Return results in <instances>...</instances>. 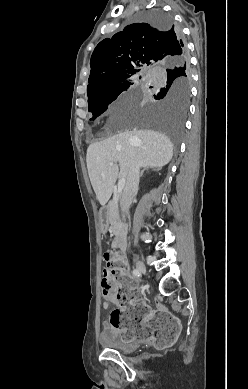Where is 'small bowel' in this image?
<instances>
[{
	"label": "small bowel",
	"instance_id": "1",
	"mask_svg": "<svg viewBox=\"0 0 248 389\" xmlns=\"http://www.w3.org/2000/svg\"><path fill=\"white\" fill-rule=\"evenodd\" d=\"M130 278H131V277H130ZM112 304L118 305V301L115 300V299H110V298H106V297H105V301H104V303H103V308L107 310V309L110 308V306H111ZM103 326H104L105 329L110 328V324H109L108 321H105V322L103 323Z\"/></svg>",
	"mask_w": 248,
	"mask_h": 389
}]
</instances>
